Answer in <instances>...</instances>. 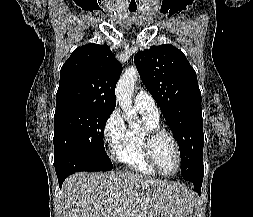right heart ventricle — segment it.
<instances>
[{"label":"right heart ventricle","instance_id":"right-heart-ventricle-1","mask_svg":"<svg viewBox=\"0 0 253 217\" xmlns=\"http://www.w3.org/2000/svg\"><path fill=\"white\" fill-rule=\"evenodd\" d=\"M138 111L141 114L142 124L140 127L126 129L123 138L114 150L115 157L120 163L136 173L154 176L157 172L145 157L143 137L148 129L159 127V117L141 109Z\"/></svg>","mask_w":253,"mask_h":217}]
</instances>
